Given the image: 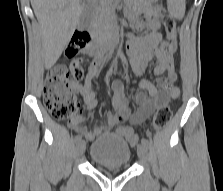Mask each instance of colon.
I'll return each mask as SVG.
<instances>
[{"instance_id":"1","label":"colon","mask_w":223,"mask_h":191,"mask_svg":"<svg viewBox=\"0 0 223 191\" xmlns=\"http://www.w3.org/2000/svg\"><path fill=\"white\" fill-rule=\"evenodd\" d=\"M164 28L166 38L161 41L160 51L164 55L166 72L172 73L176 69L177 63L171 54V46L168 38L176 33V23L172 17H164ZM90 37L84 33H77L66 47L65 53L68 57L75 56L89 41ZM85 77L82 65L78 61H73L69 67L58 64L48 73L44 86V104L51 116L59 121L67 120L78 111V102L74 95L73 81H81ZM171 119L170 106H162L155 112L152 122V131L161 130ZM118 133L124 136L129 144L136 147L139 144L140 136L129 127H122Z\"/></svg>"}]
</instances>
